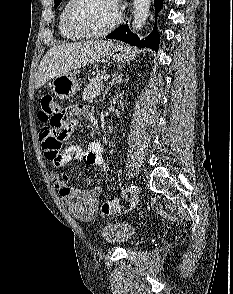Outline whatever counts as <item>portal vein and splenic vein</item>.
Masks as SVG:
<instances>
[{"instance_id": "portal-vein-and-splenic-vein-1", "label": "portal vein and splenic vein", "mask_w": 233, "mask_h": 294, "mask_svg": "<svg viewBox=\"0 0 233 294\" xmlns=\"http://www.w3.org/2000/svg\"><path fill=\"white\" fill-rule=\"evenodd\" d=\"M109 78H110L109 75H106V76L103 77V79H104L105 81L109 80Z\"/></svg>"}]
</instances>
